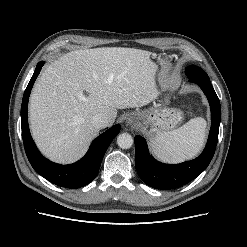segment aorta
<instances>
[{
	"instance_id": "762f6f07",
	"label": "aorta",
	"mask_w": 247,
	"mask_h": 247,
	"mask_svg": "<svg viewBox=\"0 0 247 247\" xmlns=\"http://www.w3.org/2000/svg\"><path fill=\"white\" fill-rule=\"evenodd\" d=\"M133 142V137L129 133H121L117 137V144L122 149H129Z\"/></svg>"
}]
</instances>
